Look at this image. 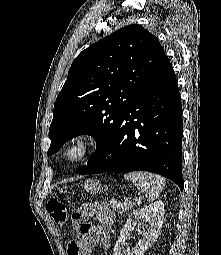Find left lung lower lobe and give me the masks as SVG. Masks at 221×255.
I'll return each mask as SVG.
<instances>
[{
	"mask_svg": "<svg viewBox=\"0 0 221 255\" xmlns=\"http://www.w3.org/2000/svg\"><path fill=\"white\" fill-rule=\"evenodd\" d=\"M182 105L167 58L122 114L103 150L78 174L149 171L182 181Z\"/></svg>",
	"mask_w": 221,
	"mask_h": 255,
	"instance_id": "left-lung-lower-lobe-1",
	"label": "left lung lower lobe"
}]
</instances>
